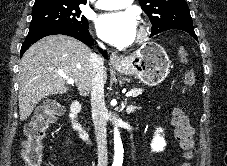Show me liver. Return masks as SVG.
Wrapping results in <instances>:
<instances>
[{
  "label": "liver",
  "instance_id": "liver-1",
  "mask_svg": "<svg viewBox=\"0 0 227 166\" xmlns=\"http://www.w3.org/2000/svg\"><path fill=\"white\" fill-rule=\"evenodd\" d=\"M93 55L85 44L66 35L47 36L33 44L24 53L19 67L20 120H26L42 99L67 92L66 79L60 74L75 80L80 95H88Z\"/></svg>",
  "mask_w": 227,
  "mask_h": 166
}]
</instances>
